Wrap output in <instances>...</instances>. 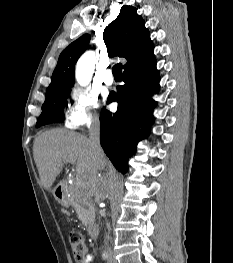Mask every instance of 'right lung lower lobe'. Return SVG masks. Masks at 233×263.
Listing matches in <instances>:
<instances>
[{"label":"right lung lower lobe","instance_id":"right-lung-lower-lobe-1","mask_svg":"<svg viewBox=\"0 0 233 263\" xmlns=\"http://www.w3.org/2000/svg\"><path fill=\"white\" fill-rule=\"evenodd\" d=\"M123 86L108 102H118L116 113L103 109L100 115V142L113 165L121 172L127 171L125 155H132L136 144L149 135L148 126L153 121L156 102L151 96L159 89V72L155 59L124 70Z\"/></svg>","mask_w":233,"mask_h":263}]
</instances>
